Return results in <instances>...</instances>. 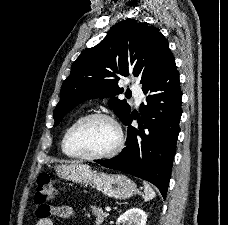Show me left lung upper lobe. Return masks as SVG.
<instances>
[{
	"label": "left lung upper lobe",
	"instance_id": "1",
	"mask_svg": "<svg viewBox=\"0 0 228 225\" xmlns=\"http://www.w3.org/2000/svg\"><path fill=\"white\" fill-rule=\"evenodd\" d=\"M170 55L168 41L158 28L133 19L117 23L98 45L83 51L73 63L54 110L55 125L78 104L96 97H111L108 106L126 121L130 106L114 97L123 92L118 79L132 73L143 86L155 78Z\"/></svg>",
	"mask_w": 228,
	"mask_h": 225
}]
</instances>
